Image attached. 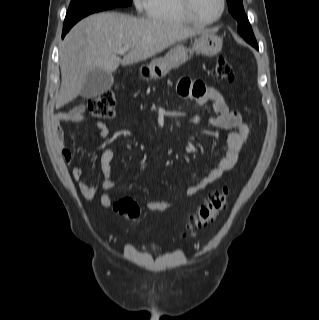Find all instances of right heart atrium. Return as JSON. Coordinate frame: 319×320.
I'll return each mask as SVG.
<instances>
[{"mask_svg":"<svg viewBox=\"0 0 319 320\" xmlns=\"http://www.w3.org/2000/svg\"><path fill=\"white\" fill-rule=\"evenodd\" d=\"M152 0H133L136 10L140 13L147 12L151 5Z\"/></svg>","mask_w":319,"mask_h":320,"instance_id":"obj_1","label":"right heart atrium"}]
</instances>
